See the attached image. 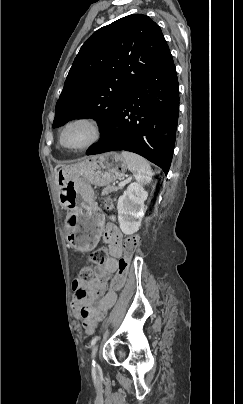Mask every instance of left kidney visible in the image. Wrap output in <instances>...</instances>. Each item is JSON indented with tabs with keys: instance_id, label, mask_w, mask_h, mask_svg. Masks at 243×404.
<instances>
[{
	"instance_id": "left-kidney-1",
	"label": "left kidney",
	"mask_w": 243,
	"mask_h": 404,
	"mask_svg": "<svg viewBox=\"0 0 243 404\" xmlns=\"http://www.w3.org/2000/svg\"><path fill=\"white\" fill-rule=\"evenodd\" d=\"M148 198V192H145L141 184H130L123 196L118 200V222L120 230L126 236L138 232L142 218H144L145 200Z\"/></svg>"
}]
</instances>
